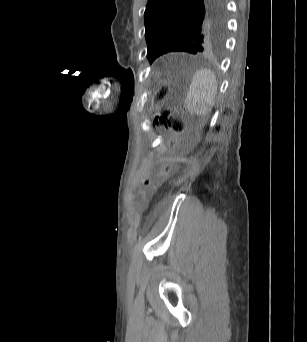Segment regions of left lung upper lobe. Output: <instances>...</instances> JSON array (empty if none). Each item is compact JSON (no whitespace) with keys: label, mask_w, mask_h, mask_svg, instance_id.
Instances as JSON below:
<instances>
[{"label":"left lung upper lobe","mask_w":307,"mask_h":342,"mask_svg":"<svg viewBox=\"0 0 307 342\" xmlns=\"http://www.w3.org/2000/svg\"><path fill=\"white\" fill-rule=\"evenodd\" d=\"M224 0H149L144 13L147 57L172 51L207 54L221 49L225 37Z\"/></svg>","instance_id":"5c2ea615"}]
</instances>
